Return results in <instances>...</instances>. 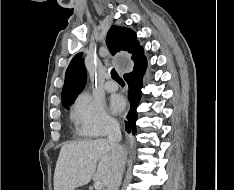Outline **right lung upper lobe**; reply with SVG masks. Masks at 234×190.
Listing matches in <instances>:
<instances>
[{"label": "right lung upper lobe", "instance_id": "right-lung-upper-lobe-1", "mask_svg": "<svg viewBox=\"0 0 234 190\" xmlns=\"http://www.w3.org/2000/svg\"><path fill=\"white\" fill-rule=\"evenodd\" d=\"M106 43L112 55L118 52L130 53L133 61L143 51L135 32L128 28L112 26L107 34ZM82 55L83 53L76 54L66 70L62 104L74 101L85 86L86 69Z\"/></svg>", "mask_w": 234, "mask_h": 190}]
</instances>
